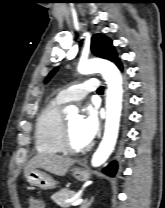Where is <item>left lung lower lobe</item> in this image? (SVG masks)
<instances>
[{
	"label": "left lung lower lobe",
	"instance_id": "1",
	"mask_svg": "<svg viewBox=\"0 0 165 208\" xmlns=\"http://www.w3.org/2000/svg\"><path fill=\"white\" fill-rule=\"evenodd\" d=\"M116 64L122 70L123 67L119 60L116 62ZM103 171L110 176H114L117 172V163L116 162L110 163Z\"/></svg>",
	"mask_w": 165,
	"mask_h": 208
}]
</instances>
